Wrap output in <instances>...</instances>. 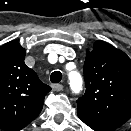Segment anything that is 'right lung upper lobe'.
<instances>
[{"label": "right lung upper lobe", "instance_id": "1", "mask_svg": "<svg viewBox=\"0 0 131 131\" xmlns=\"http://www.w3.org/2000/svg\"><path fill=\"white\" fill-rule=\"evenodd\" d=\"M25 49L17 41L0 47V129L19 131L35 119L51 88L24 62Z\"/></svg>", "mask_w": 131, "mask_h": 131}]
</instances>
